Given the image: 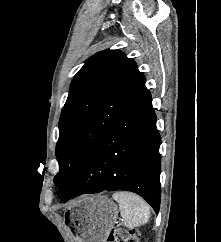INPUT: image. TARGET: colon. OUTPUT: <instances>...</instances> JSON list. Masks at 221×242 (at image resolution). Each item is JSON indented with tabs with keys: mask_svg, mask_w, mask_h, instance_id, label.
<instances>
[{
	"mask_svg": "<svg viewBox=\"0 0 221 242\" xmlns=\"http://www.w3.org/2000/svg\"><path fill=\"white\" fill-rule=\"evenodd\" d=\"M107 242H139V232L137 230L115 228L109 232Z\"/></svg>",
	"mask_w": 221,
	"mask_h": 242,
	"instance_id": "obj_1",
	"label": "colon"
}]
</instances>
